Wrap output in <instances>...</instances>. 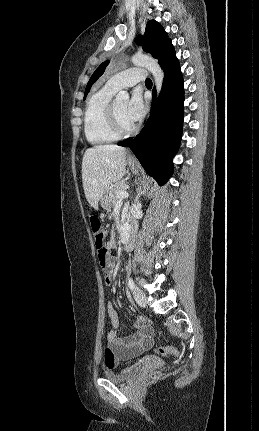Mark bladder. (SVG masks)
<instances>
[{"instance_id":"1","label":"bladder","mask_w":259,"mask_h":431,"mask_svg":"<svg viewBox=\"0 0 259 431\" xmlns=\"http://www.w3.org/2000/svg\"><path fill=\"white\" fill-rule=\"evenodd\" d=\"M137 371V368H125L120 371H105L103 376L109 381L120 383L129 380Z\"/></svg>"}]
</instances>
